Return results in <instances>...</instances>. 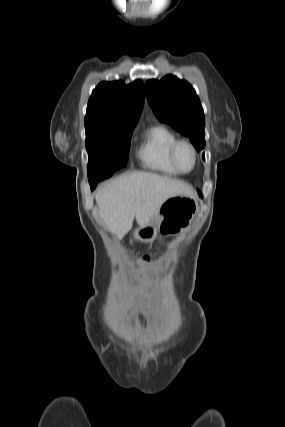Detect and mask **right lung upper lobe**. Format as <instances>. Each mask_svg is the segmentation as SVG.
<instances>
[{
	"label": "right lung upper lobe",
	"mask_w": 285,
	"mask_h": 427,
	"mask_svg": "<svg viewBox=\"0 0 285 427\" xmlns=\"http://www.w3.org/2000/svg\"><path fill=\"white\" fill-rule=\"evenodd\" d=\"M144 104V85L136 80L130 85L122 81L102 82L88 101L85 125H136Z\"/></svg>",
	"instance_id": "cb5924a9"
}]
</instances>
